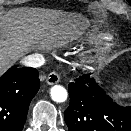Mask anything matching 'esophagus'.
<instances>
[{"label":"esophagus","mask_w":131,"mask_h":131,"mask_svg":"<svg viewBox=\"0 0 131 131\" xmlns=\"http://www.w3.org/2000/svg\"><path fill=\"white\" fill-rule=\"evenodd\" d=\"M60 80L59 74L55 71L48 74L46 82L48 85L57 84Z\"/></svg>","instance_id":"obj_1"}]
</instances>
